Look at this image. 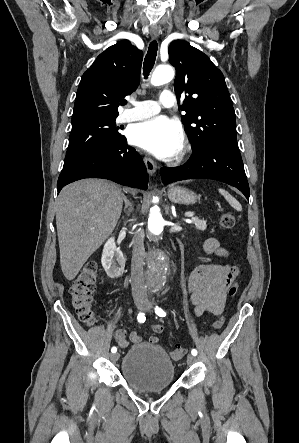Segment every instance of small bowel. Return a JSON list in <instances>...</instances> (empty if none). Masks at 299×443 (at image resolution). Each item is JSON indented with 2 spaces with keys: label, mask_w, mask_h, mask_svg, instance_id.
Listing matches in <instances>:
<instances>
[{
  "label": "small bowel",
  "mask_w": 299,
  "mask_h": 443,
  "mask_svg": "<svg viewBox=\"0 0 299 443\" xmlns=\"http://www.w3.org/2000/svg\"><path fill=\"white\" fill-rule=\"evenodd\" d=\"M204 251L209 255H215L227 259L229 252L221 247L216 238H209L204 243ZM238 275V269L230 264H202L191 271L187 278V289L190 300L194 306L196 316L204 313L219 315L222 313L229 285ZM154 335L149 337V343L157 345L160 338L157 334L165 329L163 324L151 326ZM115 340L121 348H127L130 344H139L142 337L136 333H127L124 329L115 332Z\"/></svg>",
  "instance_id": "c3829d8e"
}]
</instances>
